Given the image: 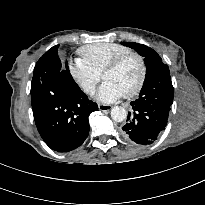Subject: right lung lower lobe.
Wrapping results in <instances>:
<instances>
[{
    "instance_id": "obj_1",
    "label": "right lung lower lobe",
    "mask_w": 205,
    "mask_h": 205,
    "mask_svg": "<svg viewBox=\"0 0 205 205\" xmlns=\"http://www.w3.org/2000/svg\"><path fill=\"white\" fill-rule=\"evenodd\" d=\"M59 45L36 63L31 83L35 123L44 142L53 150L68 152L79 147L89 133L90 113L97 111L73 80L68 65L61 69Z\"/></svg>"
}]
</instances>
